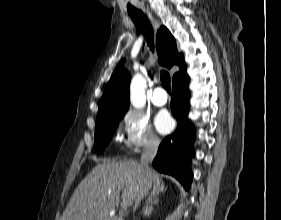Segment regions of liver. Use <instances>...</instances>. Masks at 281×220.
Returning <instances> with one entry per match:
<instances>
[{
  "label": "liver",
  "instance_id": "obj_1",
  "mask_svg": "<svg viewBox=\"0 0 281 220\" xmlns=\"http://www.w3.org/2000/svg\"><path fill=\"white\" fill-rule=\"evenodd\" d=\"M145 178L144 167L135 161L97 164L75 189L60 220H110V212L119 205L120 193L122 201H135ZM149 190L151 195L165 191L160 175L153 170L146 194Z\"/></svg>",
  "mask_w": 281,
  "mask_h": 220
}]
</instances>
